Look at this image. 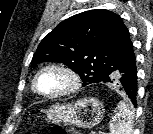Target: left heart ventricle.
<instances>
[{
  "instance_id": "1",
  "label": "left heart ventricle",
  "mask_w": 153,
  "mask_h": 134,
  "mask_svg": "<svg viewBox=\"0 0 153 134\" xmlns=\"http://www.w3.org/2000/svg\"><path fill=\"white\" fill-rule=\"evenodd\" d=\"M37 85L43 93H56L67 87L68 79L62 73L50 70L40 75Z\"/></svg>"
}]
</instances>
